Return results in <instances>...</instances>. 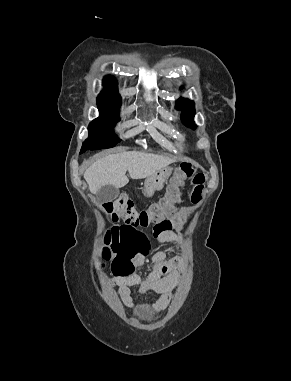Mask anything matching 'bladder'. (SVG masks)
Listing matches in <instances>:
<instances>
[{
  "label": "bladder",
  "mask_w": 291,
  "mask_h": 381,
  "mask_svg": "<svg viewBox=\"0 0 291 381\" xmlns=\"http://www.w3.org/2000/svg\"><path fill=\"white\" fill-rule=\"evenodd\" d=\"M134 315L139 318V319H142V320H150L153 318L152 315L146 313L144 310L138 308L136 309V312L134 313Z\"/></svg>",
  "instance_id": "bladder-1"
}]
</instances>
